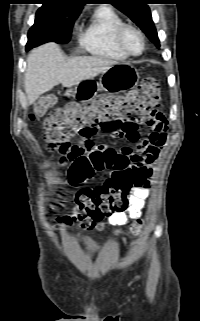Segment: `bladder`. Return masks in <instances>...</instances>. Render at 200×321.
<instances>
[{"label": "bladder", "instance_id": "31cf9c89", "mask_svg": "<svg viewBox=\"0 0 200 321\" xmlns=\"http://www.w3.org/2000/svg\"><path fill=\"white\" fill-rule=\"evenodd\" d=\"M75 241L84 251L90 254H94L99 250V244L88 236L77 235Z\"/></svg>", "mask_w": 200, "mask_h": 321}]
</instances>
